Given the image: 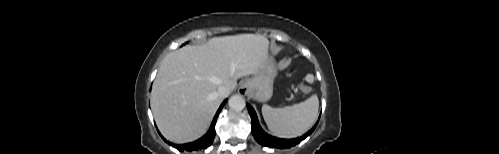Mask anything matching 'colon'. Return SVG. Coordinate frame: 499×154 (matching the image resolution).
I'll list each match as a JSON object with an SVG mask.
<instances>
[{"mask_svg": "<svg viewBox=\"0 0 499 154\" xmlns=\"http://www.w3.org/2000/svg\"><path fill=\"white\" fill-rule=\"evenodd\" d=\"M304 90L307 91L308 90V87H304Z\"/></svg>", "mask_w": 499, "mask_h": 154, "instance_id": "5ec220e1", "label": "colon"}]
</instances>
